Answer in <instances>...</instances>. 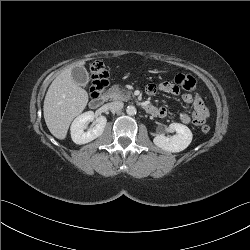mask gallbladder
Returning <instances> with one entry per match:
<instances>
[{
  "label": "gallbladder",
  "instance_id": "bac80fb5",
  "mask_svg": "<svg viewBox=\"0 0 250 250\" xmlns=\"http://www.w3.org/2000/svg\"><path fill=\"white\" fill-rule=\"evenodd\" d=\"M73 80L81 85L85 86L89 81V75L87 70L83 66H76L72 69Z\"/></svg>",
  "mask_w": 250,
  "mask_h": 250
}]
</instances>
